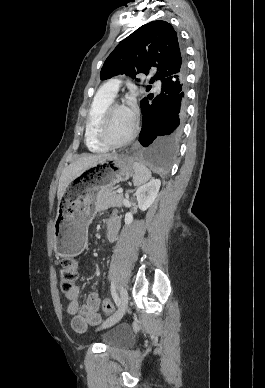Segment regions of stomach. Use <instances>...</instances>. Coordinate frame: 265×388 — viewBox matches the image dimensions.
<instances>
[{"mask_svg":"<svg viewBox=\"0 0 265 388\" xmlns=\"http://www.w3.org/2000/svg\"><path fill=\"white\" fill-rule=\"evenodd\" d=\"M134 172L125 155L105 157L75 176L59 199L53 225L54 250L61 257L79 255L87 242V227L96 208V196L102 188L126 181Z\"/></svg>","mask_w":265,"mask_h":388,"instance_id":"0dacf381","label":"stomach"}]
</instances>
